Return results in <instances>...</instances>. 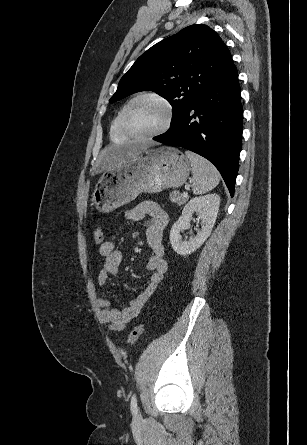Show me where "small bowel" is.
<instances>
[{
	"label": "small bowel",
	"mask_w": 307,
	"mask_h": 445,
	"mask_svg": "<svg viewBox=\"0 0 307 445\" xmlns=\"http://www.w3.org/2000/svg\"><path fill=\"white\" fill-rule=\"evenodd\" d=\"M125 219L132 222H144L147 245L151 250V256L147 261L146 267L152 273L146 287L122 310L114 308L109 298H99L98 303L103 309V321L108 324L111 330L117 332L123 330L127 323L139 315L148 299L163 280L167 270L163 246V235L168 223L167 213L154 202H144L128 209L125 213ZM99 255L102 258V267L97 279L98 283L106 288L109 278L117 276L119 273L122 252L115 248L112 240H109L100 246Z\"/></svg>",
	"instance_id": "1"
}]
</instances>
